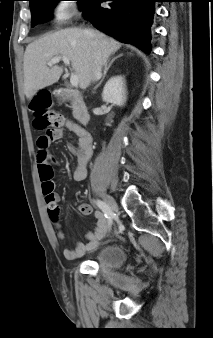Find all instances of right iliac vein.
Wrapping results in <instances>:
<instances>
[{
  "label": "right iliac vein",
  "instance_id": "obj_1",
  "mask_svg": "<svg viewBox=\"0 0 213 338\" xmlns=\"http://www.w3.org/2000/svg\"><path fill=\"white\" fill-rule=\"evenodd\" d=\"M103 200L113 213H117L119 208L115 200L109 195H103Z\"/></svg>",
  "mask_w": 213,
  "mask_h": 338
}]
</instances>
